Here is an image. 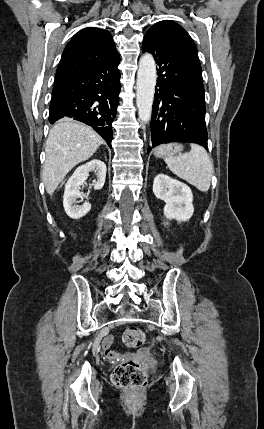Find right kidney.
Instances as JSON below:
<instances>
[{"label": "right kidney", "mask_w": 264, "mask_h": 429, "mask_svg": "<svg viewBox=\"0 0 264 429\" xmlns=\"http://www.w3.org/2000/svg\"><path fill=\"white\" fill-rule=\"evenodd\" d=\"M91 171L97 175V180L94 181L93 184L94 189H102L106 178V165L104 162L97 159L79 166L66 183L63 195V206L66 214L72 219H80L91 210V204L89 202H85L81 206L76 205L77 198H86V195L79 191V187L85 183Z\"/></svg>", "instance_id": "ca27d5eb"}]
</instances>
